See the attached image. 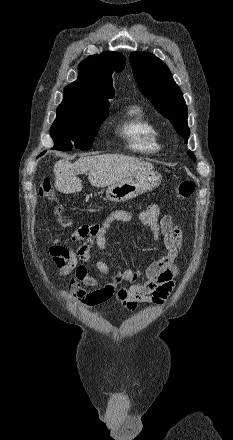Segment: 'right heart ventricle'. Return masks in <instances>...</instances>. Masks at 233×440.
<instances>
[{
	"instance_id": "obj_1",
	"label": "right heart ventricle",
	"mask_w": 233,
	"mask_h": 440,
	"mask_svg": "<svg viewBox=\"0 0 233 440\" xmlns=\"http://www.w3.org/2000/svg\"><path fill=\"white\" fill-rule=\"evenodd\" d=\"M117 131L135 154L150 155L162 148L159 128L139 106H131L125 111Z\"/></svg>"
}]
</instances>
